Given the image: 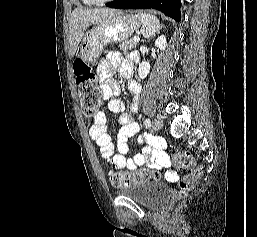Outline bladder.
Returning a JSON list of instances; mask_svg holds the SVG:
<instances>
[{
  "label": "bladder",
  "instance_id": "1",
  "mask_svg": "<svg viewBox=\"0 0 257 237\" xmlns=\"http://www.w3.org/2000/svg\"><path fill=\"white\" fill-rule=\"evenodd\" d=\"M116 193L129 197L135 202L149 208L159 207L168 199L166 188L163 184L154 180L138 182L118 188Z\"/></svg>",
  "mask_w": 257,
  "mask_h": 237
}]
</instances>
